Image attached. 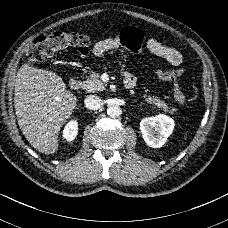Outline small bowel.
<instances>
[{
    "label": "small bowel",
    "mask_w": 228,
    "mask_h": 228,
    "mask_svg": "<svg viewBox=\"0 0 228 228\" xmlns=\"http://www.w3.org/2000/svg\"><path fill=\"white\" fill-rule=\"evenodd\" d=\"M134 27H126L122 30L121 36L108 37L98 41L93 49L92 54L95 57H101L106 52L116 51L120 44L124 47L129 48L133 52H139L144 47H146L147 51L152 55L163 58L168 61L173 66H179L183 62V56L180 51L177 49L164 45L160 41L155 38H145L141 35V33ZM88 53L81 54L85 57ZM156 76L164 81H172L182 74V70H163L156 69ZM132 79L135 81V77L131 73H125V80Z\"/></svg>",
    "instance_id": "1"
}]
</instances>
